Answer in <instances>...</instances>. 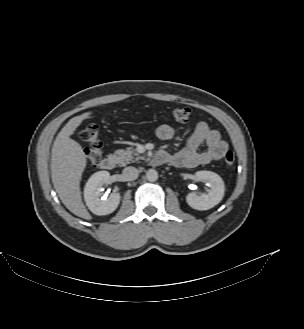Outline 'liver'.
<instances>
[{
	"instance_id": "6515ba94",
	"label": "liver",
	"mask_w": 304,
	"mask_h": 329,
	"mask_svg": "<svg viewBox=\"0 0 304 329\" xmlns=\"http://www.w3.org/2000/svg\"><path fill=\"white\" fill-rule=\"evenodd\" d=\"M91 113L70 119L57 135L51 153V177L58 196L69 211L86 220L92 217L82 202L80 180L87 161L81 145L70 136Z\"/></svg>"
}]
</instances>
